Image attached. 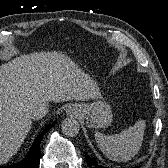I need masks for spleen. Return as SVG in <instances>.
<instances>
[{
	"instance_id": "1",
	"label": "spleen",
	"mask_w": 168,
	"mask_h": 168,
	"mask_svg": "<svg viewBox=\"0 0 168 168\" xmlns=\"http://www.w3.org/2000/svg\"><path fill=\"white\" fill-rule=\"evenodd\" d=\"M145 127V121L139 120L119 134L107 136L96 132L95 139L108 158L114 161H128L140 150Z\"/></svg>"
}]
</instances>
